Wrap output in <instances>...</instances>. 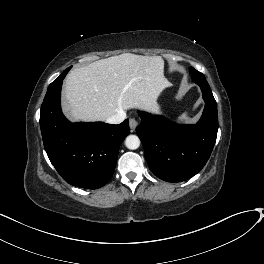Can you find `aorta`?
I'll return each mask as SVG.
<instances>
[{
	"mask_svg": "<svg viewBox=\"0 0 264 264\" xmlns=\"http://www.w3.org/2000/svg\"><path fill=\"white\" fill-rule=\"evenodd\" d=\"M125 145L130 150H135L140 146V139L136 135H129L125 139Z\"/></svg>",
	"mask_w": 264,
	"mask_h": 264,
	"instance_id": "obj_1",
	"label": "aorta"
}]
</instances>
